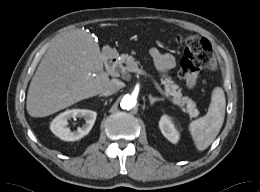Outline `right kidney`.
I'll list each match as a JSON object with an SVG mask.
<instances>
[{
  "instance_id": "obj_1",
  "label": "right kidney",
  "mask_w": 260,
  "mask_h": 192,
  "mask_svg": "<svg viewBox=\"0 0 260 192\" xmlns=\"http://www.w3.org/2000/svg\"><path fill=\"white\" fill-rule=\"evenodd\" d=\"M97 113L87 109H72L59 114L51 123V131L65 141H76L87 135L93 127ZM71 118H83L85 123L76 131H71L68 125V120Z\"/></svg>"
}]
</instances>
